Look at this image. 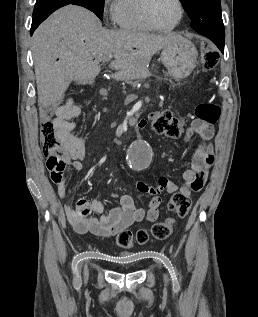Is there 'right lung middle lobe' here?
<instances>
[{
	"mask_svg": "<svg viewBox=\"0 0 258 317\" xmlns=\"http://www.w3.org/2000/svg\"><path fill=\"white\" fill-rule=\"evenodd\" d=\"M91 11L94 12L100 20L103 19L104 0H89Z\"/></svg>",
	"mask_w": 258,
	"mask_h": 317,
	"instance_id": "1",
	"label": "right lung middle lobe"
}]
</instances>
